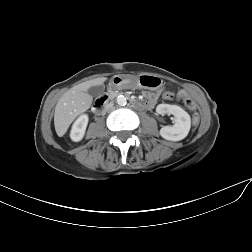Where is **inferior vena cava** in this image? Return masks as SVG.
Returning a JSON list of instances; mask_svg holds the SVG:
<instances>
[{"instance_id":"1","label":"inferior vena cava","mask_w":252,"mask_h":252,"mask_svg":"<svg viewBox=\"0 0 252 252\" xmlns=\"http://www.w3.org/2000/svg\"><path fill=\"white\" fill-rule=\"evenodd\" d=\"M112 106V104H108V107H111Z\"/></svg>"}]
</instances>
